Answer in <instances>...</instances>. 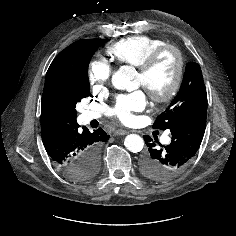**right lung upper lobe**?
<instances>
[{
  "mask_svg": "<svg viewBox=\"0 0 236 236\" xmlns=\"http://www.w3.org/2000/svg\"><path fill=\"white\" fill-rule=\"evenodd\" d=\"M79 41L60 52L47 71L41 102V128L55 124H68L76 119L70 108L55 95L51 87V80L55 72L64 64L68 51Z\"/></svg>",
  "mask_w": 236,
  "mask_h": 236,
  "instance_id": "cb5924a9",
  "label": "right lung upper lobe"
}]
</instances>
